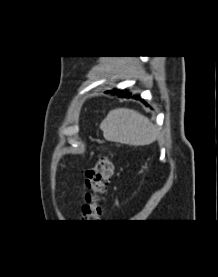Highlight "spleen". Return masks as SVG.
<instances>
[{
    "mask_svg": "<svg viewBox=\"0 0 218 277\" xmlns=\"http://www.w3.org/2000/svg\"><path fill=\"white\" fill-rule=\"evenodd\" d=\"M100 129L106 140L132 146L149 145L158 138V131L151 121L128 108L111 110L101 122Z\"/></svg>",
    "mask_w": 218,
    "mask_h": 277,
    "instance_id": "3e777b00",
    "label": "spleen"
}]
</instances>
